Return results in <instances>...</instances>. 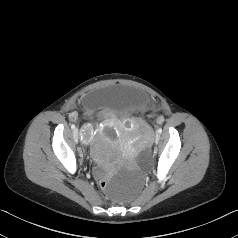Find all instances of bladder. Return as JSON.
<instances>
[{
  "instance_id": "1",
  "label": "bladder",
  "mask_w": 238,
  "mask_h": 238,
  "mask_svg": "<svg viewBox=\"0 0 238 238\" xmlns=\"http://www.w3.org/2000/svg\"><path fill=\"white\" fill-rule=\"evenodd\" d=\"M84 103L91 111H103L117 116H128L145 110L147 97L125 86H111L98 91L89 92Z\"/></svg>"
}]
</instances>
